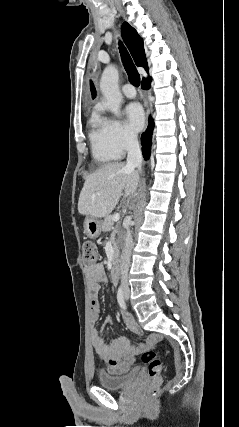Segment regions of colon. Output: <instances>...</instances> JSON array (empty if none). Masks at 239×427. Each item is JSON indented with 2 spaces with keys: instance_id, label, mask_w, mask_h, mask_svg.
Wrapping results in <instances>:
<instances>
[{
  "instance_id": "obj_1",
  "label": "colon",
  "mask_w": 239,
  "mask_h": 427,
  "mask_svg": "<svg viewBox=\"0 0 239 427\" xmlns=\"http://www.w3.org/2000/svg\"><path fill=\"white\" fill-rule=\"evenodd\" d=\"M83 263L86 266H92L97 261V251L91 242H86L82 247ZM141 360L148 366L150 384L143 392L145 398L154 395L162 381L163 365L154 351H146L142 354Z\"/></svg>"
}]
</instances>
